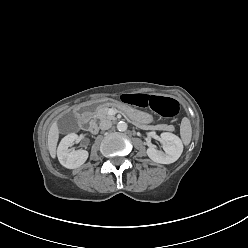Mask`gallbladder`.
<instances>
[{
    "mask_svg": "<svg viewBox=\"0 0 248 248\" xmlns=\"http://www.w3.org/2000/svg\"><path fill=\"white\" fill-rule=\"evenodd\" d=\"M68 118V122H63L60 124L61 129L64 130H70V129H76L77 128V122L73 116L72 113H68L66 115Z\"/></svg>",
    "mask_w": 248,
    "mask_h": 248,
    "instance_id": "gallbladder-1",
    "label": "gallbladder"
}]
</instances>
